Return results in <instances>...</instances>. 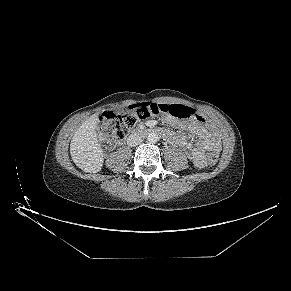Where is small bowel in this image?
<instances>
[{
	"label": "small bowel",
	"instance_id": "small-bowel-1",
	"mask_svg": "<svg viewBox=\"0 0 291 291\" xmlns=\"http://www.w3.org/2000/svg\"><path fill=\"white\" fill-rule=\"evenodd\" d=\"M165 122L177 129L188 130L196 135L197 143H192L183 134L173 131H162L164 138L175 145L184 148L189 159L197 167H205L206 151L218 152L220 150V140L218 135L209 127L206 120L201 116L198 119L181 120L172 116H167ZM156 122L150 120L147 125L153 126Z\"/></svg>",
	"mask_w": 291,
	"mask_h": 291
}]
</instances>
